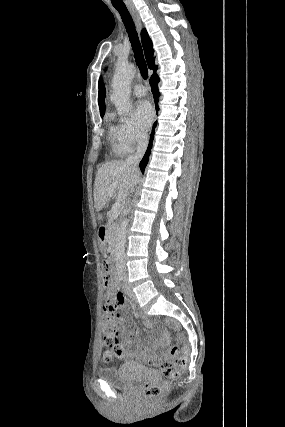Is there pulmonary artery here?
<instances>
[{
    "mask_svg": "<svg viewBox=\"0 0 285 427\" xmlns=\"http://www.w3.org/2000/svg\"><path fill=\"white\" fill-rule=\"evenodd\" d=\"M146 93L147 90L142 84H135L132 88V94L136 97H143Z\"/></svg>",
    "mask_w": 285,
    "mask_h": 427,
    "instance_id": "obj_1",
    "label": "pulmonary artery"
}]
</instances>
